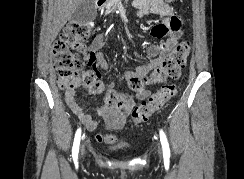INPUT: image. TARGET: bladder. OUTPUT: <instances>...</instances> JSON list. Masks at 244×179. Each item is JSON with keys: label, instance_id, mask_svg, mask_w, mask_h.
<instances>
[{"label": "bladder", "instance_id": "1", "mask_svg": "<svg viewBox=\"0 0 244 179\" xmlns=\"http://www.w3.org/2000/svg\"><path fill=\"white\" fill-rule=\"evenodd\" d=\"M112 152H113V153H115V152H116V150H113Z\"/></svg>", "mask_w": 244, "mask_h": 179}]
</instances>
